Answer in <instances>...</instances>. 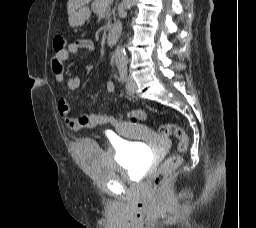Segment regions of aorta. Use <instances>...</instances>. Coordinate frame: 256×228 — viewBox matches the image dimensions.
<instances>
[{"mask_svg":"<svg viewBox=\"0 0 256 228\" xmlns=\"http://www.w3.org/2000/svg\"><path fill=\"white\" fill-rule=\"evenodd\" d=\"M136 0H122V6L124 8H130L135 4ZM115 63L117 66H124L126 65V53L125 48L123 46H117L115 50Z\"/></svg>","mask_w":256,"mask_h":228,"instance_id":"obj_1","label":"aorta"}]
</instances>
